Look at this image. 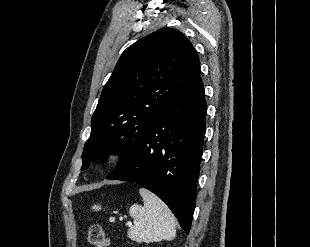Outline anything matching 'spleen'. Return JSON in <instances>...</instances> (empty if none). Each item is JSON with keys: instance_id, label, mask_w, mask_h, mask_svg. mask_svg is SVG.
<instances>
[{"instance_id": "spleen-1", "label": "spleen", "mask_w": 310, "mask_h": 247, "mask_svg": "<svg viewBox=\"0 0 310 247\" xmlns=\"http://www.w3.org/2000/svg\"><path fill=\"white\" fill-rule=\"evenodd\" d=\"M144 205L134 204L129 209L135 224L130 227L128 237L136 242H159L172 240L176 235L175 217L168 206L145 188L139 190ZM99 210L100 207L94 206Z\"/></svg>"}]
</instances>
